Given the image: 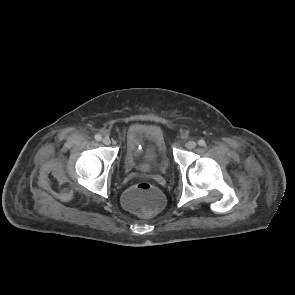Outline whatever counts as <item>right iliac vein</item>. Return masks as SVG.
<instances>
[{
	"label": "right iliac vein",
	"instance_id": "right-iliac-vein-1",
	"mask_svg": "<svg viewBox=\"0 0 295 295\" xmlns=\"http://www.w3.org/2000/svg\"><path fill=\"white\" fill-rule=\"evenodd\" d=\"M102 142H103V144H105V145H110V144H111V140H110L109 137H104V138L102 139Z\"/></svg>",
	"mask_w": 295,
	"mask_h": 295
}]
</instances>
